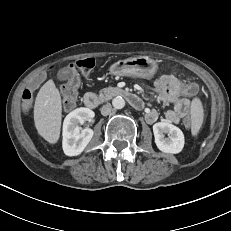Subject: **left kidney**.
I'll use <instances>...</instances> for the list:
<instances>
[{
  "label": "left kidney",
  "instance_id": "5707ae66",
  "mask_svg": "<svg viewBox=\"0 0 231 231\" xmlns=\"http://www.w3.org/2000/svg\"><path fill=\"white\" fill-rule=\"evenodd\" d=\"M155 143L164 153L177 154L184 147V134L178 127L168 122H158L153 125ZM164 133L168 135L165 138Z\"/></svg>",
  "mask_w": 231,
  "mask_h": 231
}]
</instances>
